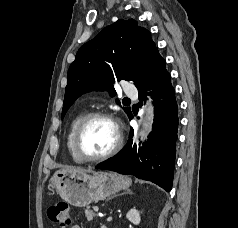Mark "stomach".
Segmentation results:
<instances>
[{
    "label": "stomach",
    "mask_w": 238,
    "mask_h": 228,
    "mask_svg": "<svg viewBox=\"0 0 238 228\" xmlns=\"http://www.w3.org/2000/svg\"><path fill=\"white\" fill-rule=\"evenodd\" d=\"M130 185V178L113 172L89 174L59 170L51 177L49 186L56 189L60 197L70 205L84 207L104 200Z\"/></svg>",
    "instance_id": "stomach-1"
}]
</instances>
